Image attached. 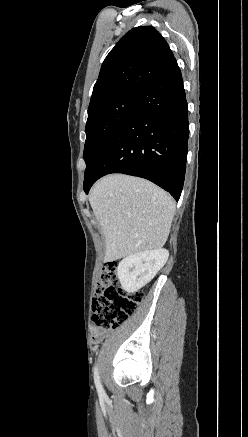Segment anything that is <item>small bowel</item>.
Wrapping results in <instances>:
<instances>
[{
	"instance_id": "1",
	"label": "small bowel",
	"mask_w": 248,
	"mask_h": 437,
	"mask_svg": "<svg viewBox=\"0 0 248 437\" xmlns=\"http://www.w3.org/2000/svg\"><path fill=\"white\" fill-rule=\"evenodd\" d=\"M91 333H92V339L94 340V342L97 343L100 342L106 336L107 330L93 327L91 329Z\"/></svg>"
}]
</instances>
